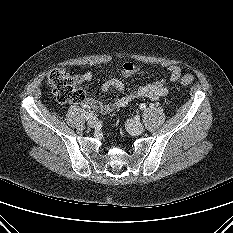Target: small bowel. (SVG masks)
Listing matches in <instances>:
<instances>
[{"mask_svg":"<svg viewBox=\"0 0 233 233\" xmlns=\"http://www.w3.org/2000/svg\"><path fill=\"white\" fill-rule=\"evenodd\" d=\"M168 75L172 81H176L181 76V68L176 65H172L167 69ZM140 68L133 62L127 61L123 64L122 76L125 78L139 74ZM93 74L91 71H86L76 77L77 83L81 84L88 82L92 79ZM116 89L119 92H123L125 89L124 83L117 78H112L106 81L101 90L107 92L110 89ZM168 94L165 79H160L151 83L139 85L130 93L124 94L112 103H102L95 98H87L84 100V106L88 108L98 109L103 113H109L114 109L123 108L127 106L131 101L138 98H148L150 100H158Z\"/></svg>","mask_w":233,"mask_h":233,"instance_id":"c3829d8e","label":"small bowel"}]
</instances>
